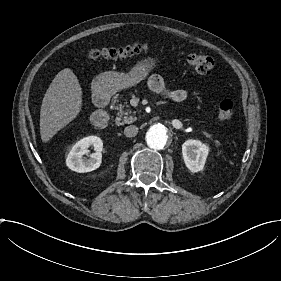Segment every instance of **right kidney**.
<instances>
[{
	"label": "right kidney",
	"instance_id": "1",
	"mask_svg": "<svg viewBox=\"0 0 281 281\" xmlns=\"http://www.w3.org/2000/svg\"><path fill=\"white\" fill-rule=\"evenodd\" d=\"M94 148L96 153L92 154L90 159L84 158V155ZM103 142L100 137L87 136L76 142L66 157V166L78 173H88L98 169L101 165V155Z\"/></svg>",
	"mask_w": 281,
	"mask_h": 281
}]
</instances>
